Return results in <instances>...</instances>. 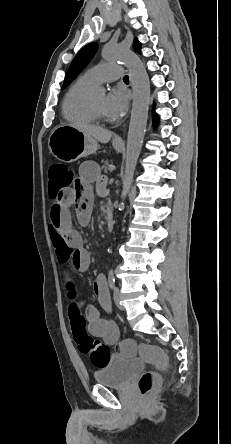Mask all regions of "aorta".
<instances>
[{
    "label": "aorta",
    "mask_w": 231,
    "mask_h": 444,
    "mask_svg": "<svg viewBox=\"0 0 231 444\" xmlns=\"http://www.w3.org/2000/svg\"><path fill=\"white\" fill-rule=\"evenodd\" d=\"M102 56L108 61H122L130 69L133 88V104L129 124L126 166L122 178V192L119 209L124 208L125 198L130 190L137 160L142 148L148 119L150 84L146 69L138 55L120 45L106 44Z\"/></svg>",
    "instance_id": "obj_1"
}]
</instances>
